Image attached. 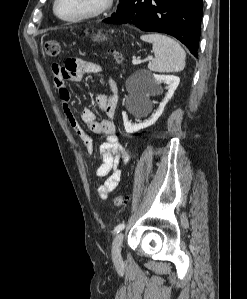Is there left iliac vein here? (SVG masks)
Here are the masks:
<instances>
[{"label":"left iliac vein","instance_id":"1","mask_svg":"<svg viewBox=\"0 0 247 299\" xmlns=\"http://www.w3.org/2000/svg\"><path fill=\"white\" fill-rule=\"evenodd\" d=\"M123 233H118L112 243V258L115 264H120L122 261L121 246L123 242Z\"/></svg>","mask_w":247,"mask_h":299}]
</instances>
